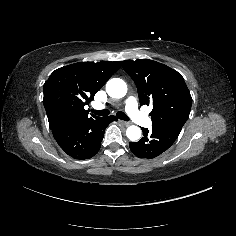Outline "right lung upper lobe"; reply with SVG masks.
<instances>
[{"instance_id":"cb5924a9","label":"right lung upper lobe","mask_w":236,"mask_h":236,"mask_svg":"<svg viewBox=\"0 0 236 236\" xmlns=\"http://www.w3.org/2000/svg\"><path fill=\"white\" fill-rule=\"evenodd\" d=\"M120 66L121 62H79L55 70L44 84L43 98L51 129L91 118L84 106Z\"/></svg>"}]
</instances>
